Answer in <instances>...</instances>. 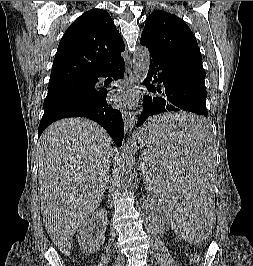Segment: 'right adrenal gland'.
<instances>
[{"label": "right adrenal gland", "mask_w": 253, "mask_h": 266, "mask_svg": "<svg viewBox=\"0 0 253 266\" xmlns=\"http://www.w3.org/2000/svg\"><path fill=\"white\" fill-rule=\"evenodd\" d=\"M109 182H110V177L107 175V177L105 179V183H104V191H103V193H105L107 191V189L109 188Z\"/></svg>", "instance_id": "2a0ac1e0"}]
</instances>
